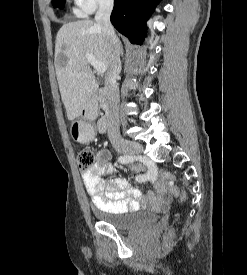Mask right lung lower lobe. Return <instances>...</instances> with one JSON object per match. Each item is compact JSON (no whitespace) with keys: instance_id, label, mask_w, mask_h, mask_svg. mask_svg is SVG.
I'll use <instances>...</instances> for the list:
<instances>
[{"instance_id":"98d812e1","label":"right lung lower lobe","mask_w":247,"mask_h":275,"mask_svg":"<svg viewBox=\"0 0 247 275\" xmlns=\"http://www.w3.org/2000/svg\"><path fill=\"white\" fill-rule=\"evenodd\" d=\"M160 0H115L110 17L114 27L133 44H142L146 21Z\"/></svg>"}]
</instances>
